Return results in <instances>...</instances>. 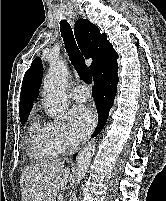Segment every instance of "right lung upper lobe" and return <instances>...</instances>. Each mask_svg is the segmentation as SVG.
Segmentation results:
<instances>
[{
    "instance_id": "1",
    "label": "right lung upper lobe",
    "mask_w": 166,
    "mask_h": 201,
    "mask_svg": "<svg viewBox=\"0 0 166 201\" xmlns=\"http://www.w3.org/2000/svg\"><path fill=\"white\" fill-rule=\"evenodd\" d=\"M74 33L79 48L85 58L93 59L90 65L93 78L106 64L116 62L118 54L114 51L112 44L107 40L106 34H101L99 28L89 20L85 18L78 19ZM42 74L43 65L41 59L37 57L24 75L20 94V118L29 116L33 102L38 95Z\"/></svg>"
}]
</instances>
